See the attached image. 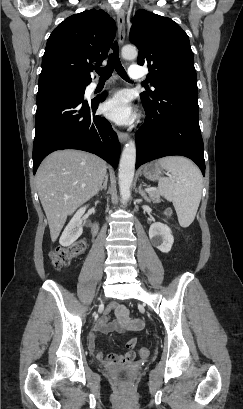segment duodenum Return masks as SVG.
Masks as SVG:
<instances>
[{"label":"duodenum","instance_id":"obj_1","mask_svg":"<svg viewBox=\"0 0 243 409\" xmlns=\"http://www.w3.org/2000/svg\"><path fill=\"white\" fill-rule=\"evenodd\" d=\"M97 233V225L93 226V234L95 235Z\"/></svg>","mask_w":243,"mask_h":409}]
</instances>
